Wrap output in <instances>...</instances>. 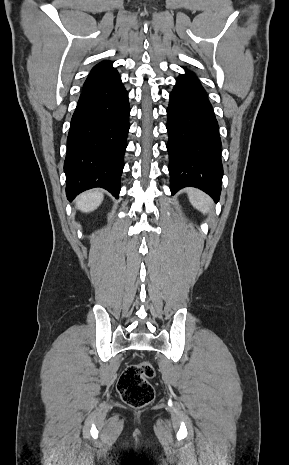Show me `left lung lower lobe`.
Listing matches in <instances>:
<instances>
[{"instance_id": "1", "label": "left lung lower lobe", "mask_w": 289, "mask_h": 465, "mask_svg": "<svg viewBox=\"0 0 289 465\" xmlns=\"http://www.w3.org/2000/svg\"><path fill=\"white\" fill-rule=\"evenodd\" d=\"M170 189L199 188L219 200L223 166L218 123L196 76L180 75L167 108Z\"/></svg>"}]
</instances>
